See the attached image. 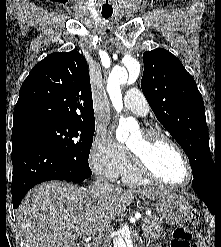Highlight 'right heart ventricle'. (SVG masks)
<instances>
[{
  "mask_svg": "<svg viewBox=\"0 0 221 247\" xmlns=\"http://www.w3.org/2000/svg\"><path fill=\"white\" fill-rule=\"evenodd\" d=\"M121 176L122 180L127 184L141 185L150 182V180L136 171L128 155L126 156Z\"/></svg>",
  "mask_w": 221,
  "mask_h": 247,
  "instance_id": "obj_1",
  "label": "right heart ventricle"
}]
</instances>
